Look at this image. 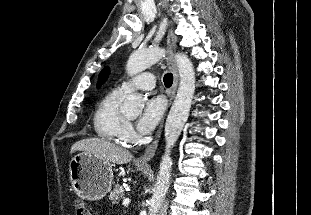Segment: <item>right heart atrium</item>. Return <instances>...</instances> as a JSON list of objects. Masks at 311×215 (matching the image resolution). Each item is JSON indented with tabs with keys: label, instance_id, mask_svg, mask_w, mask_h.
Wrapping results in <instances>:
<instances>
[{
	"label": "right heart atrium",
	"instance_id": "right-heart-atrium-1",
	"mask_svg": "<svg viewBox=\"0 0 311 215\" xmlns=\"http://www.w3.org/2000/svg\"><path fill=\"white\" fill-rule=\"evenodd\" d=\"M123 136L125 141H132L136 136L133 126L129 122L125 125Z\"/></svg>",
	"mask_w": 311,
	"mask_h": 215
}]
</instances>
